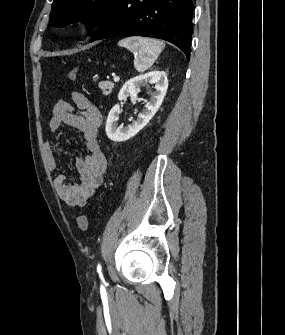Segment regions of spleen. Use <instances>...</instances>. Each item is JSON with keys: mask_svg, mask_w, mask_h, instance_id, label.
I'll return each instance as SVG.
<instances>
[{"mask_svg": "<svg viewBox=\"0 0 285 335\" xmlns=\"http://www.w3.org/2000/svg\"><path fill=\"white\" fill-rule=\"evenodd\" d=\"M120 48H127L129 52L136 54L134 66L137 72H145L153 66L160 52L165 48V44L154 40V38H140V36H132V38H124L118 42Z\"/></svg>", "mask_w": 285, "mask_h": 335, "instance_id": "spleen-1", "label": "spleen"}]
</instances>
